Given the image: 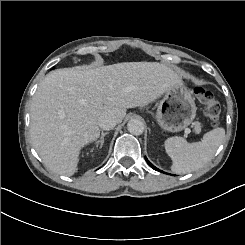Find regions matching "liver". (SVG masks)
I'll use <instances>...</instances> for the list:
<instances>
[{"mask_svg":"<svg viewBox=\"0 0 245 245\" xmlns=\"http://www.w3.org/2000/svg\"><path fill=\"white\" fill-rule=\"evenodd\" d=\"M182 77L160 62H122L51 71L31 105L30 135L44 164L71 176L83 144L98 138V119L111 114L120 123L126 108L146 105Z\"/></svg>","mask_w":245,"mask_h":245,"instance_id":"obj_1","label":"liver"}]
</instances>
